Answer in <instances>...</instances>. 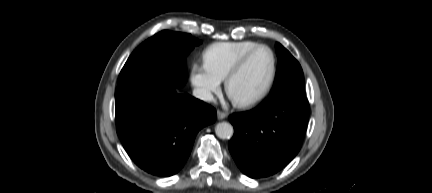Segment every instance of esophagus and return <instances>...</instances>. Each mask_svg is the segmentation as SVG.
Here are the masks:
<instances>
[{
  "mask_svg": "<svg viewBox=\"0 0 432 193\" xmlns=\"http://www.w3.org/2000/svg\"><path fill=\"white\" fill-rule=\"evenodd\" d=\"M226 117H227V114H226L225 112H223V111H221V110H218V111H217V118H218L219 120L225 119Z\"/></svg>",
  "mask_w": 432,
  "mask_h": 193,
  "instance_id": "obj_1",
  "label": "esophagus"
}]
</instances>
